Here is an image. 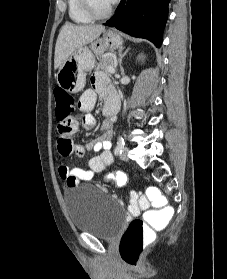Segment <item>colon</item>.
<instances>
[{"label":"colon","mask_w":227,"mask_h":279,"mask_svg":"<svg viewBox=\"0 0 227 279\" xmlns=\"http://www.w3.org/2000/svg\"><path fill=\"white\" fill-rule=\"evenodd\" d=\"M74 108L75 101L73 96L59 89L57 91L55 113L63 133L72 131ZM107 180L116 186H124L129 179L126 172L118 170L110 173L107 176ZM147 194L153 204L161 206L167 201L166 195L154 187L149 186ZM173 217L174 209L170 206H162L149 209L142 218L133 219L129 223L121 241L120 254L122 259L128 265L136 266L143 250V243L152 237L154 227L160 226L164 221L172 220Z\"/></svg>","instance_id":"obj_1"}]
</instances>
